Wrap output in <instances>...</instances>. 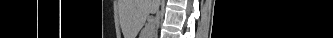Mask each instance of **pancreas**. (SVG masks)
I'll use <instances>...</instances> for the list:
<instances>
[{
    "mask_svg": "<svg viewBox=\"0 0 333 38\" xmlns=\"http://www.w3.org/2000/svg\"><path fill=\"white\" fill-rule=\"evenodd\" d=\"M154 32V23L153 24H148L145 28V30L141 33L143 37H147L148 34Z\"/></svg>",
    "mask_w": 333,
    "mask_h": 38,
    "instance_id": "pancreas-1",
    "label": "pancreas"
}]
</instances>
